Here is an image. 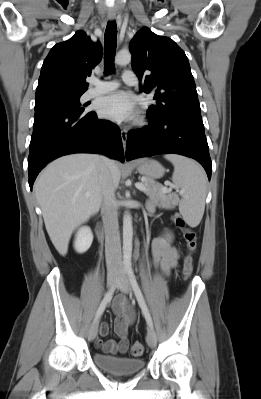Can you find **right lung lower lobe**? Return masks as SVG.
Wrapping results in <instances>:
<instances>
[{"label":"right lung lower lobe","instance_id":"right-lung-lower-lobe-1","mask_svg":"<svg viewBox=\"0 0 261 399\" xmlns=\"http://www.w3.org/2000/svg\"><path fill=\"white\" fill-rule=\"evenodd\" d=\"M78 152L103 153L124 162L120 129L110 121L98 120L95 112L60 107L35 112L28 157L30 189L47 163Z\"/></svg>","mask_w":261,"mask_h":399}]
</instances>
